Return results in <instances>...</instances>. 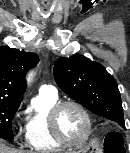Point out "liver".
Segmentation results:
<instances>
[{
    "label": "liver",
    "mask_w": 130,
    "mask_h": 153,
    "mask_svg": "<svg viewBox=\"0 0 130 153\" xmlns=\"http://www.w3.org/2000/svg\"><path fill=\"white\" fill-rule=\"evenodd\" d=\"M0 153H27V152H24L22 150L11 149L6 145H4L0 140Z\"/></svg>",
    "instance_id": "obj_1"
}]
</instances>
